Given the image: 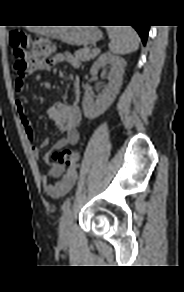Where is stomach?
I'll return each instance as SVG.
<instances>
[{"label": "stomach", "mask_w": 184, "mask_h": 292, "mask_svg": "<svg viewBox=\"0 0 184 292\" xmlns=\"http://www.w3.org/2000/svg\"><path fill=\"white\" fill-rule=\"evenodd\" d=\"M50 37L70 45H88L100 40L102 34L96 27H60Z\"/></svg>", "instance_id": "stomach-1"}]
</instances>
